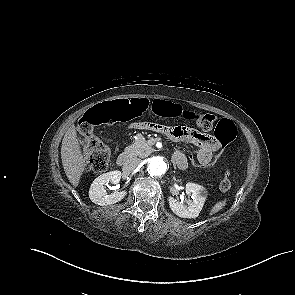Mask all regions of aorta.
<instances>
[{
	"instance_id": "aorta-1",
	"label": "aorta",
	"mask_w": 295,
	"mask_h": 295,
	"mask_svg": "<svg viewBox=\"0 0 295 295\" xmlns=\"http://www.w3.org/2000/svg\"><path fill=\"white\" fill-rule=\"evenodd\" d=\"M168 170L167 162L163 157H152L148 163V173L154 177L164 175Z\"/></svg>"
}]
</instances>
